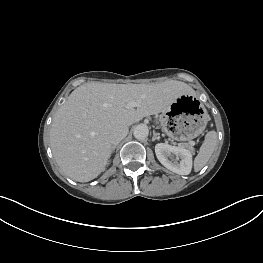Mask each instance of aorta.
I'll return each instance as SVG.
<instances>
[{
  "label": "aorta",
  "instance_id": "762f6f07",
  "mask_svg": "<svg viewBox=\"0 0 263 263\" xmlns=\"http://www.w3.org/2000/svg\"><path fill=\"white\" fill-rule=\"evenodd\" d=\"M149 129L146 125H137L133 130V135L138 140H144L148 137Z\"/></svg>",
  "mask_w": 263,
  "mask_h": 263
}]
</instances>
